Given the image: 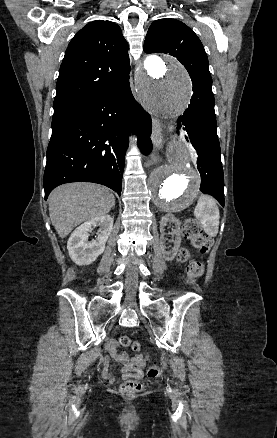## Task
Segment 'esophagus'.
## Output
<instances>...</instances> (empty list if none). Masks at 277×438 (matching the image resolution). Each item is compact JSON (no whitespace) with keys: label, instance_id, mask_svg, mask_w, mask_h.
<instances>
[{"label":"esophagus","instance_id":"34e87169","mask_svg":"<svg viewBox=\"0 0 277 438\" xmlns=\"http://www.w3.org/2000/svg\"><path fill=\"white\" fill-rule=\"evenodd\" d=\"M138 71H142V67ZM152 141L154 145L158 148H162V143L164 140V137L162 135V122L158 120L157 118L152 117V134H151Z\"/></svg>","mask_w":277,"mask_h":438}]
</instances>
